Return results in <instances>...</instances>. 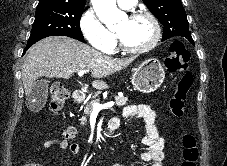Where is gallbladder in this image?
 Wrapping results in <instances>:
<instances>
[{
    "label": "gallbladder",
    "mask_w": 227,
    "mask_h": 166,
    "mask_svg": "<svg viewBox=\"0 0 227 166\" xmlns=\"http://www.w3.org/2000/svg\"><path fill=\"white\" fill-rule=\"evenodd\" d=\"M49 81L39 79L34 82L31 92L29 93L26 105L32 111H38L43 108L48 95Z\"/></svg>",
    "instance_id": "gallbladder-1"
}]
</instances>
